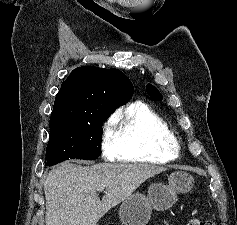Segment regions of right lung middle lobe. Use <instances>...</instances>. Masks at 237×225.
Segmentation results:
<instances>
[{
	"instance_id": "obj_1",
	"label": "right lung middle lobe",
	"mask_w": 237,
	"mask_h": 225,
	"mask_svg": "<svg viewBox=\"0 0 237 225\" xmlns=\"http://www.w3.org/2000/svg\"><path fill=\"white\" fill-rule=\"evenodd\" d=\"M112 113L103 111L88 121L51 119L46 158L97 159L101 152L102 124Z\"/></svg>"
}]
</instances>
